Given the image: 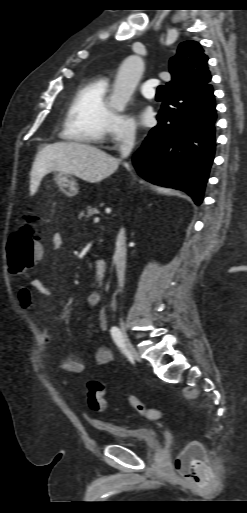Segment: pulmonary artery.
I'll return each instance as SVG.
<instances>
[{
	"instance_id": "1",
	"label": "pulmonary artery",
	"mask_w": 247,
	"mask_h": 513,
	"mask_svg": "<svg viewBox=\"0 0 247 513\" xmlns=\"http://www.w3.org/2000/svg\"><path fill=\"white\" fill-rule=\"evenodd\" d=\"M158 84V80L156 79H149L145 81L141 87L140 91L146 98H154L155 97V87Z\"/></svg>"
}]
</instances>
